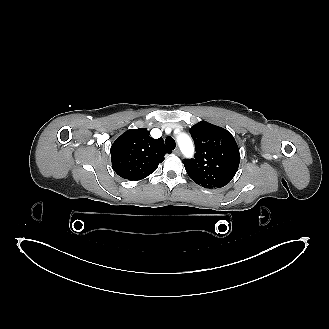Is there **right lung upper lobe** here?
Returning <instances> with one entry per match:
<instances>
[{"mask_svg": "<svg viewBox=\"0 0 329 329\" xmlns=\"http://www.w3.org/2000/svg\"><path fill=\"white\" fill-rule=\"evenodd\" d=\"M171 153L163 139H153L146 128L129 129L111 146L113 170L122 178L137 181L153 173L164 155Z\"/></svg>", "mask_w": 329, "mask_h": 329, "instance_id": "right-lung-upper-lobe-1", "label": "right lung upper lobe"}]
</instances>
